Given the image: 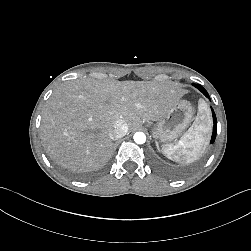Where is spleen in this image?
<instances>
[{"mask_svg":"<svg viewBox=\"0 0 251 251\" xmlns=\"http://www.w3.org/2000/svg\"><path fill=\"white\" fill-rule=\"evenodd\" d=\"M188 137H189V134H186L185 139L187 140V138H188ZM186 140H185V141H186ZM185 141H183V142H185ZM181 143H182V142H181ZM168 146H169L170 148H172V147H173V145H172V144H169Z\"/></svg>","mask_w":251,"mask_h":251,"instance_id":"obj_1","label":"spleen"}]
</instances>
